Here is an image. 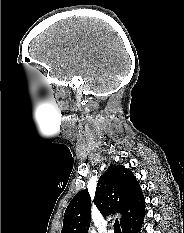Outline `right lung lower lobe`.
Wrapping results in <instances>:
<instances>
[{"label": "right lung lower lobe", "mask_w": 184, "mask_h": 233, "mask_svg": "<svg viewBox=\"0 0 184 233\" xmlns=\"http://www.w3.org/2000/svg\"><path fill=\"white\" fill-rule=\"evenodd\" d=\"M145 216V210L143 209L138 215L132 218L130 221L122 225L123 233H138L142 225Z\"/></svg>", "instance_id": "obj_1"}]
</instances>
